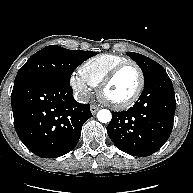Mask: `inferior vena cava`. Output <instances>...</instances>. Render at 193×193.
I'll return each instance as SVG.
<instances>
[{"instance_id":"obj_1","label":"inferior vena cava","mask_w":193,"mask_h":193,"mask_svg":"<svg viewBox=\"0 0 193 193\" xmlns=\"http://www.w3.org/2000/svg\"><path fill=\"white\" fill-rule=\"evenodd\" d=\"M74 98L79 103H88L90 95L87 92L80 91L75 93Z\"/></svg>"}]
</instances>
